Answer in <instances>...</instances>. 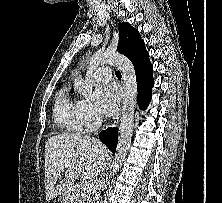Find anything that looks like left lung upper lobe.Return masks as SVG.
Listing matches in <instances>:
<instances>
[{"instance_id": "left-lung-upper-lobe-1", "label": "left lung upper lobe", "mask_w": 222, "mask_h": 203, "mask_svg": "<svg viewBox=\"0 0 222 203\" xmlns=\"http://www.w3.org/2000/svg\"><path fill=\"white\" fill-rule=\"evenodd\" d=\"M144 44L137 29L127 22L119 24L118 52L131 59Z\"/></svg>"}]
</instances>
